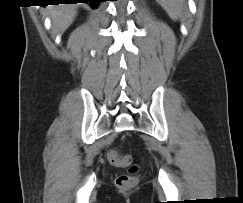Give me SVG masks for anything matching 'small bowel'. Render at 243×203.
Returning <instances> with one entry per match:
<instances>
[{"label": "small bowel", "mask_w": 243, "mask_h": 203, "mask_svg": "<svg viewBox=\"0 0 243 203\" xmlns=\"http://www.w3.org/2000/svg\"><path fill=\"white\" fill-rule=\"evenodd\" d=\"M107 158H108V161H109L111 164H113L114 166L120 167L119 165L114 164V163L111 161V159H110V157H109V152H108V154H107Z\"/></svg>", "instance_id": "c3829d8e"}]
</instances>
